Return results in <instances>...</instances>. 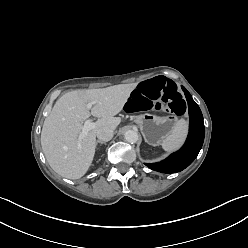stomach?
I'll return each mask as SVG.
<instances>
[{
	"instance_id": "stomach-1",
	"label": "stomach",
	"mask_w": 248,
	"mask_h": 248,
	"mask_svg": "<svg viewBox=\"0 0 248 248\" xmlns=\"http://www.w3.org/2000/svg\"><path fill=\"white\" fill-rule=\"evenodd\" d=\"M145 142L152 146L162 144L170 131L178 125V118L174 114L165 117L144 113L136 117Z\"/></svg>"
}]
</instances>
